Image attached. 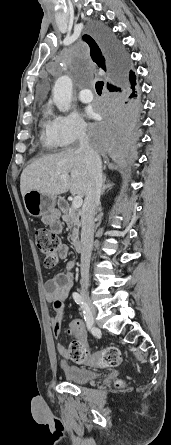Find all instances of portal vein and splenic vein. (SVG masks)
Instances as JSON below:
<instances>
[{
  "mask_svg": "<svg viewBox=\"0 0 171 445\" xmlns=\"http://www.w3.org/2000/svg\"><path fill=\"white\" fill-rule=\"evenodd\" d=\"M61 177L63 178L64 176L62 175ZM82 202H83L82 197L79 196V195H77V196H75L74 199H73L72 207H73L74 209H78V208L81 207Z\"/></svg>",
  "mask_w": 171,
  "mask_h": 445,
  "instance_id": "1",
  "label": "portal vein and splenic vein"
}]
</instances>
